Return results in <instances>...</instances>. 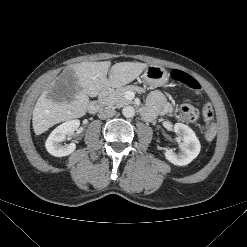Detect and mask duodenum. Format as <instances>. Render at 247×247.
<instances>
[{
	"mask_svg": "<svg viewBox=\"0 0 247 247\" xmlns=\"http://www.w3.org/2000/svg\"><path fill=\"white\" fill-rule=\"evenodd\" d=\"M111 89H112V87L110 84H106L103 87L98 98L89 104V106H88L89 113L95 114L103 107V103L106 100Z\"/></svg>",
	"mask_w": 247,
	"mask_h": 247,
	"instance_id": "1",
	"label": "duodenum"
}]
</instances>
